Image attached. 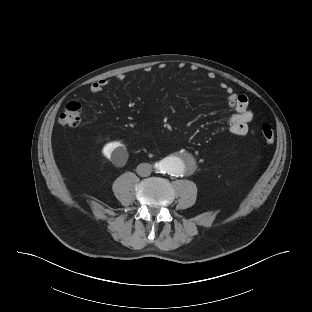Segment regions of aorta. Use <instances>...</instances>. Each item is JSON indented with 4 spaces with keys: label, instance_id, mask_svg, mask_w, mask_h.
Returning <instances> with one entry per match:
<instances>
[{
    "label": "aorta",
    "instance_id": "aorta-1",
    "mask_svg": "<svg viewBox=\"0 0 312 312\" xmlns=\"http://www.w3.org/2000/svg\"><path fill=\"white\" fill-rule=\"evenodd\" d=\"M191 158L189 156H169L164 158L159 163V169L162 173L169 175H180L184 168L190 163Z\"/></svg>",
    "mask_w": 312,
    "mask_h": 312
}]
</instances>
